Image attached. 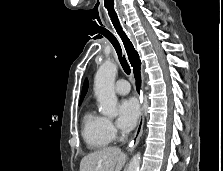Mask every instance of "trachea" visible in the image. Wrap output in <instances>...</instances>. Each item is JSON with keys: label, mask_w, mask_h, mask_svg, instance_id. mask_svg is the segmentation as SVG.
<instances>
[{"label": "trachea", "mask_w": 223, "mask_h": 171, "mask_svg": "<svg viewBox=\"0 0 223 171\" xmlns=\"http://www.w3.org/2000/svg\"><path fill=\"white\" fill-rule=\"evenodd\" d=\"M106 38L111 42V44L115 48L123 70L125 71L126 74L129 75L130 72H131V69H130V66H129L125 56L122 54V49H121L120 43L118 42V40L114 36L106 37Z\"/></svg>", "instance_id": "trachea-1"}]
</instances>
